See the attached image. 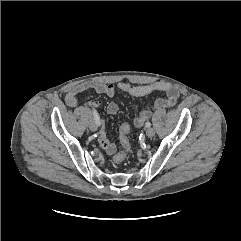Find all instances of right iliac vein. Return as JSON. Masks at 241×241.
<instances>
[{
	"label": "right iliac vein",
	"instance_id": "right-iliac-vein-1",
	"mask_svg": "<svg viewBox=\"0 0 241 241\" xmlns=\"http://www.w3.org/2000/svg\"><path fill=\"white\" fill-rule=\"evenodd\" d=\"M89 128H90L91 131H96L97 130L98 126H97V124H96V122L94 120L90 121Z\"/></svg>",
	"mask_w": 241,
	"mask_h": 241
}]
</instances>
